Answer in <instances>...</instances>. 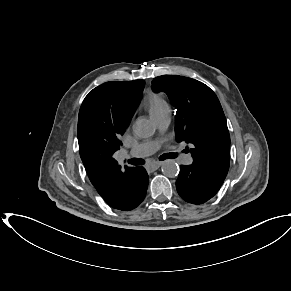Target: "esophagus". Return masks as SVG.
Instances as JSON below:
<instances>
[{"mask_svg":"<svg viewBox=\"0 0 291 291\" xmlns=\"http://www.w3.org/2000/svg\"><path fill=\"white\" fill-rule=\"evenodd\" d=\"M161 165H162V162H158V161H156V162H153V163L149 164V165L147 166V168H148V169H151V170H156V169H158Z\"/></svg>","mask_w":291,"mask_h":291,"instance_id":"esophagus-1","label":"esophagus"}]
</instances>
